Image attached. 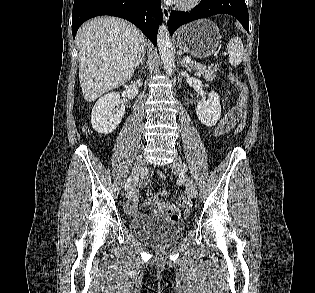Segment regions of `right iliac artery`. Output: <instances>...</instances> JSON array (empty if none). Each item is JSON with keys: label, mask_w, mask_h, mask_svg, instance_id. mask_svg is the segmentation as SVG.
Here are the masks:
<instances>
[{"label": "right iliac artery", "mask_w": 315, "mask_h": 293, "mask_svg": "<svg viewBox=\"0 0 315 293\" xmlns=\"http://www.w3.org/2000/svg\"><path fill=\"white\" fill-rule=\"evenodd\" d=\"M131 181H132V176H130V177L127 179L126 183H125V189H126V190L129 188Z\"/></svg>", "instance_id": "obj_1"}]
</instances>
